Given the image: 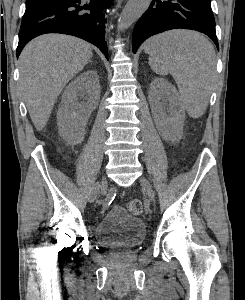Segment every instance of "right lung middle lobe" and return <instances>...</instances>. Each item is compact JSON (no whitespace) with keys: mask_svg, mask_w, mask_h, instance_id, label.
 I'll return each instance as SVG.
<instances>
[{"mask_svg":"<svg viewBox=\"0 0 245 300\" xmlns=\"http://www.w3.org/2000/svg\"><path fill=\"white\" fill-rule=\"evenodd\" d=\"M50 0H37V1H26V8H31L33 6L45 3Z\"/></svg>","mask_w":245,"mask_h":300,"instance_id":"dd1d6c3e","label":"right lung middle lobe"}]
</instances>
